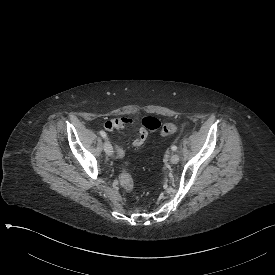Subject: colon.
Segmentation results:
<instances>
[{
	"mask_svg": "<svg viewBox=\"0 0 275 275\" xmlns=\"http://www.w3.org/2000/svg\"><path fill=\"white\" fill-rule=\"evenodd\" d=\"M178 130L177 125L175 124H165L161 127V133L163 135H171L176 133ZM119 184L126 190H132L135 186L134 179L131 173L127 170H124L118 177Z\"/></svg>",
	"mask_w": 275,
	"mask_h": 275,
	"instance_id": "colon-1",
	"label": "colon"
}]
</instances>
